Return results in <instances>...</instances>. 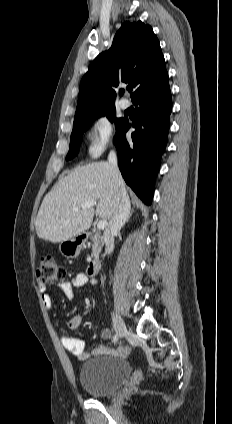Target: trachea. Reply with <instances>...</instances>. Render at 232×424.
<instances>
[{"mask_svg":"<svg viewBox=\"0 0 232 424\" xmlns=\"http://www.w3.org/2000/svg\"><path fill=\"white\" fill-rule=\"evenodd\" d=\"M128 91L131 92L132 91V88H128Z\"/></svg>","mask_w":232,"mask_h":424,"instance_id":"1","label":"trachea"}]
</instances>
